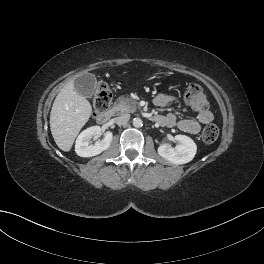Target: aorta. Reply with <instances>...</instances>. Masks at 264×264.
Listing matches in <instances>:
<instances>
[{
    "label": "aorta",
    "mask_w": 264,
    "mask_h": 264,
    "mask_svg": "<svg viewBox=\"0 0 264 264\" xmlns=\"http://www.w3.org/2000/svg\"><path fill=\"white\" fill-rule=\"evenodd\" d=\"M133 126L136 128H140L143 126V121L140 118L133 119Z\"/></svg>",
    "instance_id": "aorta-1"
}]
</instances>
